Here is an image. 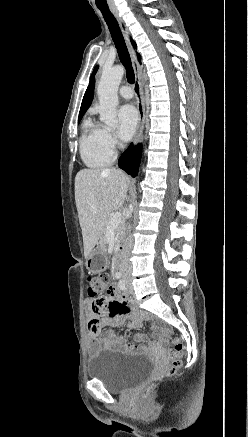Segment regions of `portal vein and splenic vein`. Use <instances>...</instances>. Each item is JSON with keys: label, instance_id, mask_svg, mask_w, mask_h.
Segmentation results:
<instances>
[{"label": "portal vein and splenic vein", "instance_id": "portal-vein-and-splenic-vein-1", "mask_svg": "<svg viewBox=\"0 0 248 437\" xmlns=\"http://www.w3.org/2000/svg\"><path fill=\"white\" fill-rule=\"evenodd\" d=\"M120 222H121V214L119 212H116L109 220L107 229L108 230L115 229L120 224Z\"/></svg>", "mask_w": 248, "mask_h": 437}]
</instances>
